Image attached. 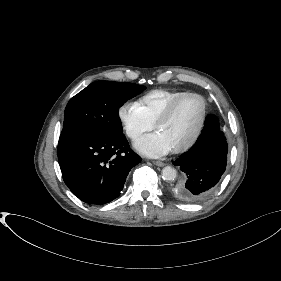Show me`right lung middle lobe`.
Here are the masks:
<instances>
[{
  "label": "right lung middle lobe",
  "mask_w": 281,
  "mask_h": 281,
  "mask_svg": "<svg viewBox=\"0 0 281 281\" xmlns=\"http://www.w3.org/2000/svg\"><path fill=\"white\" fill-rule=\"evenodd\" d=\"M145 90V86L96 81L70 99L58 146L80 137L122 134L119 108Z\"/></svg>",
  "instance_id": "1"
}]
</instances>
